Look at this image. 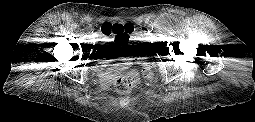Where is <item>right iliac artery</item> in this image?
Masks as SVG:
<instances>
[{
  "instance_id": "obj_1",
  "label": "right iliac artery",
  "mask_w": 255,
  "mask_h": 122,
  "mask_svg": "<svg viewBox=\"0 0 255 122\" xmlns=\"http://www.w3.org/2000/svg\"><path fill=\"white\" fill-rule=\"evenodd\" d=\"M87 31H88L89 33H92V32H93V29H92L91 27H87Z\"/></svg>"
}]
</instances>
